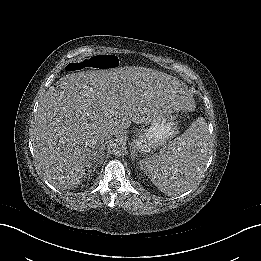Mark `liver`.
I'll list each match as a JSON object with an SVG mask.
<instances>
[{
  "mask_svg": "<svg viewBox=\"0 0 261 261\" xmlns=\"http://www.w3.org/2000/svg\"><path fill=\"white\" fill-rule=\"evenodd\" d=\"M115 80L104 72H81L47 90L39 101L34 128L39 166L68 179L85 178L86 171L92 172L102 153L104 134L126 127V117L123 113H119L123 118L118 117L116 110L126 107L134 96Z\"/></svg>",
  "mask_w": 261,
  "mask_h": 261,
  "instance_id": "1",
  "label": "liver"
}]
</instances>
